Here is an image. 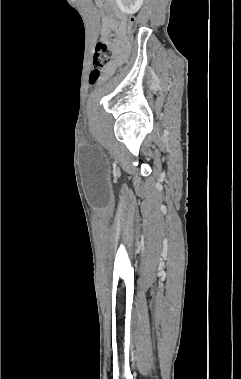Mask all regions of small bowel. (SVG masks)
Listing matches in <instances>:
<instances>
[{
    "instance_id": "c3829d8e",
    "label": "small bowel",
    "mask_w": 241,
    "mask_h": 379,
    "mask_svg": "<svg viewBox=\"0 0 241 379\" xmlns=\"http://www.w3.org/2000/svg\"><path fill=\"white\" fill-rule=\"evenodd\" d=\"M103 0H98V2H102ZM117 31L123 38L125 37V31H126V18L123 15H118V19L114 18H104L101 28V35L102 37H106L110 31ZM125 49V43L120 45L116 49L117 54H121ZM114 63H111L105 73L110 74L114 69Z\"/></svg>"
}]
</instances>
